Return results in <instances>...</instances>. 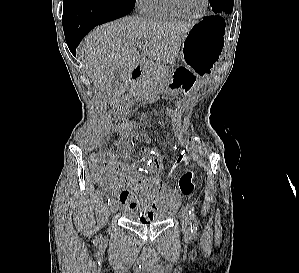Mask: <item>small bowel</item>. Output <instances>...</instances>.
I'll return each instance as SVG.
<instances>
[{"label":"small bowel","mask_w":299,"mask_h":273,"mask_svg":"<svg viewBox=\"0 0 299 273\" xmlns=\"http://www.w3.org/2000/svg\"><path fill=\"white\" fill-rule=\"evenodd\" d=\"M134 146V134L124 136L119 149L128 154ZM146 168L157 171L165 166L168 154L159 150L141 147ZM107 176L99 183L115 194L127 211L139 214L142 219H150L158 209L174 210L180 203V196L168 188L167 183L156 176H146L139 172L137 165L120 163L113 151L106 153Z\"/></svg>","instance_id":"c3829d8e"}]
</instances>
